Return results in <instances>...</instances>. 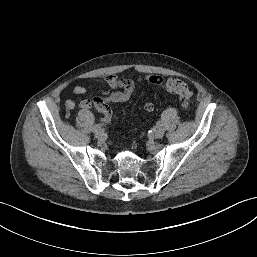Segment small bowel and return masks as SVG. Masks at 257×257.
Wrapping results in <instances>:
<instances>
[{
  "label": "small bowel",
  "instance_id": "obj_1",
  "mask_svg": "<svg viewBox=\"0 0 257 257\" xmlns=\"http://www.w3.org/2000/svg\"><path fill=\"white\" fill-rule=\"evenodd\" d=\"M107 85L113 89L106 97H91L80 102L79 107L82 109H95L102 114L101 121L108 123L112 117V110L109 106L110 103H122L129 100L131 97L136 82L132 79L120 78L115 74L108 75L105 79ZM139 82H143L152 86L161 85L164 80L159 75H149L139 79ZM73 92L77 95H82L87 92V87L84 85H76L73 88ZM66 108L72 110L76 107V102L72 99H68L65 103ZM144 111L146 113H152L154 111V105L152 103H146L144 105Z\"/></svg>",
  "mask_w": 257,
  "mask_h": 257
}]
</instances>
